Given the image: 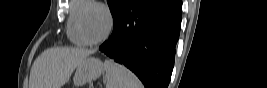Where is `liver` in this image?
I'll return each mask as SVG.
<instances>
[{
	"label": "liver",
	"instance_id": "6515ba94",
	"mask_svg": "<svg viewBox=\"0 0 267 88\" xmlns=\"http://www.w3.org/2000/svg\"><path fill=\"white\" fill-rule=\"evenodd\" d=\"M92 53V50L79 48L45 50L32 65L29 88H61L78 63Z\"/></svg>",
	"mask_w": 267,
	"mask_h": 88
}]
</instances>
